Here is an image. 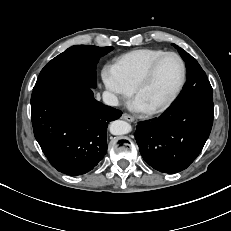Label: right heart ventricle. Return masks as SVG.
<instances>
[{"instance_id":"e07e8e85","label":"right heart ventricle","mask_w":231,"mask_h":231,"mask_svg":"<svg viewBox=\"0 0 231 231\" xmlns=\"http://www.w3.org/2000/svg\"><path fill=\"white\" fill-rule=\"evenodd\" d=\"M165 52L163 49H136L117 57L112 68L129 87L133 88L148 66Z\"/></svg>"}]
</instances>
